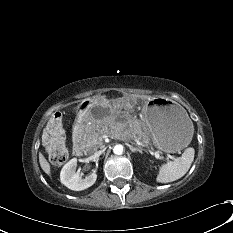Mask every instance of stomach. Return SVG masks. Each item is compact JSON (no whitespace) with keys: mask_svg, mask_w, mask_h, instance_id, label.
Returning <instances> with one entry per match:
<instances>
[{"mask_svg":"<svg viewBox=\"0 0 233 233\" xmlns=\"http://www.w3.org/2000/svg\"><path fill=\"white\" fill-rule=\"evenodd\" d=\"M91 101L93 107L88 109L86 103ZM133 109L127 98L119 101L111 99L107 103L93 99L82 102L79 115L85 121L99 123L109 118L120 120ZM145 121L149 136L156 147L166 153H174L186 147L193 135L194 127L188 114L179 105L165 98L150 100L144 108Z\"/></svg>","mask_w":233,"mask_h":233,"instance_id":"obj_1","label":"stomach"}]
</instances>
